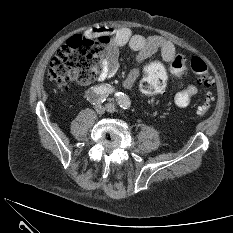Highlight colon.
<instances>
[{
	"label": "colon",
	"mask_w": 233,
	"mask_h": 233,
	"mask_svg": "<svg viewBox=\"0 0 233 233\" xmlns=\"http://www.w3.org/2000/svg\"><path fill=\"white\" fill-rule=\"evenodd\" d=\"M110 43L107 35L86 37L76 35L69 39L50 61L48 78L59 88L65 89L73 82L87 83L96 74V65L106 54ZM190 67L198 82L205 88L214 84V78L207 64L199 57L188 58L177 54L166 68L160 62H149L144 66V77L140 89L145 95H156L163 91L168 72L180 76ZM212 95L208 93L195 113L204 115L210 108Z\"/></svg>",
	"instance_id": "colon-1"
}]
</instances>
